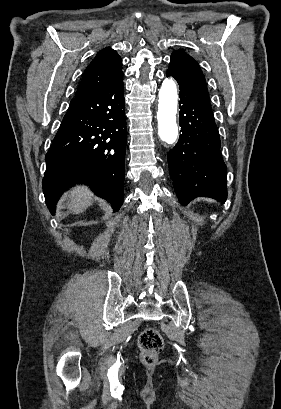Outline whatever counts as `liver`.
Segmentation results:
<instances>
[{
  "label": "liver",
  "instance_id": "liver-1",
  "mask_svg": "<svg viewBox=\"0 0 281 409\" xmlns=\"http://www.w3.org/2000/svg\"><path fill=\"white\" fill-rule=\"evenodd\" d=\"M93 194L85 184H76L73 186L67 194H65L66 200H68L67 209H70L74 215H80L84 213L90 205H92Z\"/></svg>",
  "mask_w": 281,
  "mask_h": 409
}]
</instances>
